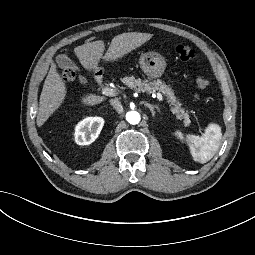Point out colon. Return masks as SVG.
Wrapping results in <instances>:
<instances>
[{"label": "colon", "instance_id": "colon-1", "mask_svg": "<svg viewBox=\"0 0 255 255\" xmlns=\"http://www.w3.org/2000/svg\"><path fill=\"white\" fill-rule=\"evenodd\" d=\"M175 52L177 56L183 61H189L196 57V50L194 47L187 43H180L176 46ZM75 77V73L72 69H65L62 72V78L64 81H72ZM197 87L205 89L209 81L205 76H199L196 80Z\"/></svg>", "mask_w": 255, "mask_h": 255}]
</instances>
